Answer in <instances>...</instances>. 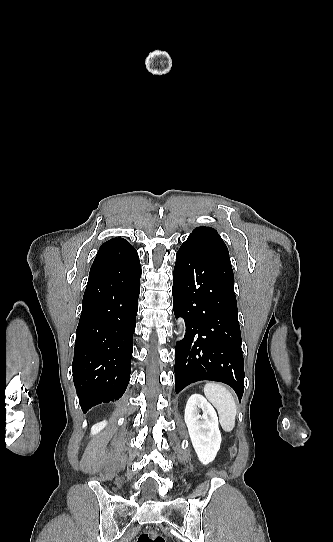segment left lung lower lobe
Returning <instances> with one entry per match:
<instances>
[{
  "label": "left lung lower lobe",
  "instance_id": "left-lung-lower-lobe-1",
  "mask_svg": "<svg viewBox=\"0 0 333 542\" xmlns=\"http://www.w3.org/2000/svg\"><path fill=\"white\" fill-rule=\"evenodd\" d=\"M231 262L185 241L176 254L173 309L186 322L175 349V391L200 380L244 391V358Z\"/></svg>",
  "mask_w": 333,
  "mask_h": 542
}]
</instances>
